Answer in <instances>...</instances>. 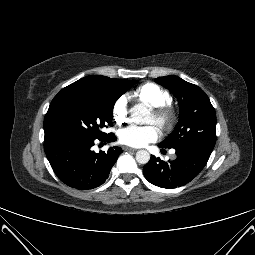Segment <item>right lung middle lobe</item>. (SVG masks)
<instances>
[{
	"instance_id": "obj_1",
	"label": "right lung middle lobe",
	"mask_w": 255,
	"mask_h": 255,
	"mask_svg": "<svg viewBox=\"0 0 255 255\" xmlns=\"http://www.w3.org/2000/svg\"><path fill=\"white\" fill-rule=\"evenodd\" d=\"M135 80L118 79L102 90L81 91L63 101L53 111L49 129L53 136H82L99 139L106 135L101 129L112 126L116 100L129 90Z\"/></svg>"
}]
</instances>
